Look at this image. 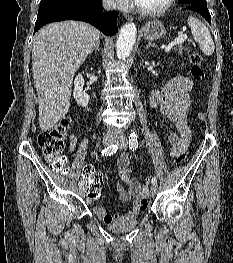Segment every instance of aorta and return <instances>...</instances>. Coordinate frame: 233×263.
I'll return each mask as SVG.
<instances>
[{
  "mask_svg": "<svg viewBox=\"0 0 233 263\" xmlns=\"http://www.w3.org/2000/svg\"><path fill=\"white\" fill-rule=\"evenodd\" d=\"M136 33L137 28L134 23H127L120 29L116 43V52L119 59L125 60L130 56L136 40Z\"/></svg>",
  "mask_w": 233,
  "mask_h": 263,
  "instance_id": "1",
  "label": "aorta"
}]
</instances>
